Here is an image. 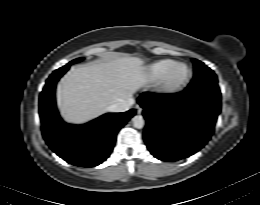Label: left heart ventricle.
Returning <instances> with one entry per match:
<instances>
[{"mask_svg":"<svg viewBox=\"0 0 260 205\" xmlns=\"http://www.w3.org/2000/svg\"><path fill=\"white\" fill-rule=\"evenodd\" d=\"M187 76V69L184 66L176 68L171 75L172 83H179L183 81Z\"/></svg>","mask_w":260,"mask_h":205,"instance_id":"b2bd125f","label":"left heart ventricle"}]
</instances>
